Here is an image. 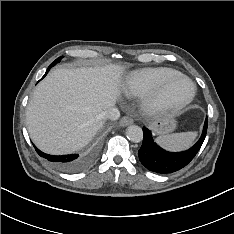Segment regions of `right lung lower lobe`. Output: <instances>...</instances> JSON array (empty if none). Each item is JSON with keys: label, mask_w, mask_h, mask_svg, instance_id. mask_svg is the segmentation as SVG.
<instances>
[{"label": "right lung lower lobe", "mask_w": 234, "mask_h": 234, "mask_svg": "<svg viewBox=\"0 0 234 234\" xmlns=\"http://www.w3.org/2000/svg\"><path fill=\"white\" fill-rule=\"evenodd\" d=\"M51 67H52L51 65L48 67L43 78L46 76V74L48 73ZM35 150L41 157L47 159L56 168L65 172H78L82 170L83 168H85L91 159L90 156H79L78 154H70V155L45 154L39 149H37L36 147H35Z\"/></svg>", "instance_id": "right-lung-lower-lobe-1"}]
</instances>
